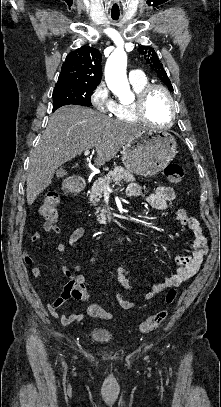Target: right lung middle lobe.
<instances>
[{"label": "right lung middle lobe", "mask_w": 221, "mask_h": 407, "mask_svg": "<svg viewBox=\"0 0 221 407\" xmlns=\"http://www.w3.org/2000/svg\"><path fill=\"white\" fill-rule=\"evenodd\" d=\"M95 89L96 86L89 85L55 87L53 90V110L69 104L91 106L90 95Z\"/></svg>", "instance_id": "right-lung-middle-lobe-1"}]
</instances>
